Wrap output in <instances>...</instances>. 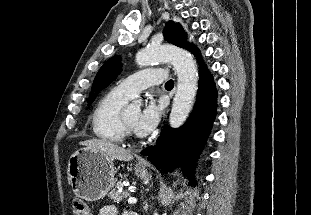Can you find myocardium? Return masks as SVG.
I'll return each instance as SVG.
<instances>
[{
	"label": "myocardium",
	"mask_w": 311,
	"mask_h": 215,
	"mask_svg": "<svg viewBox=\"0 0 311 215\" xmlns=\"http://www.w3.org/2000/svg\"><path fill=\"white\" fill-rule=\"evenodd\" d=\"M125 111H126V110H123V111H122L121 120H122L124 129H125V131H126V134H130L131 131H132V126L128 123V121H127V119H126Z\"/></svg>",
	"instance_id": "1"
}]
</instances>
